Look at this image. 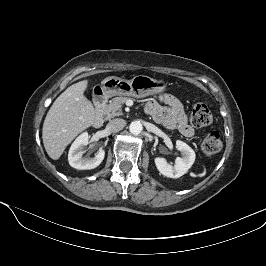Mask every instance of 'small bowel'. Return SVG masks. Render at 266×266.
I'll return each instance as SVG.
<instances>
[{"instance_id":"obj_1","label":"small bowel","mask_w":266,"mask_h":266,"mask_svg":"<svg viewBox=\"0 0 266 266\" xmlns=\"http://www.w3.org/2000/svg\"><path fill=\"white\" fill-rule=\"evenodd\" d=\"M145 110L167 128L177 129L188 138L194 136V129L189 125L183 104L177 97L163 94L158 100L149 101Z\"/></svg>"}]
</instances>
